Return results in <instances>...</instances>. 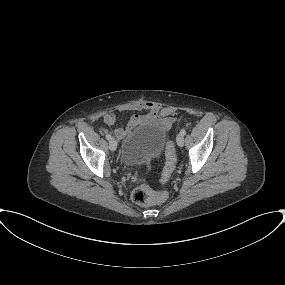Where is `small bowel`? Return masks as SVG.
Segmentation results:
<instances>
[{
	"label": "small bowel",
	"instance_id": "small-bowel-1",
	"mask_svg": "<svg viewBox=\"0 0 285 285\" xmlns=\"http://www.w3.org/2000/svg\"><path fill=\"white\" fill-rule=\"evenodd\" d=\"M118 112L124 111H144V114L132 115L125 125H118L114 128L115 137L120 140L129 134L137 125L140 124H154L161 127L164 130H169L173 119L170 117H163L159 113V107L151 102H135L129 104L120 105L117 108ZM103 122L107 126H114L117 122V115L115 112L105 113L103 116Z\"/></svg>",
	"mask_w": 285,
	"mask_h": 285
}]
</instances>
